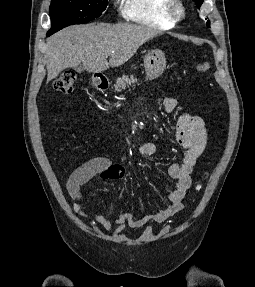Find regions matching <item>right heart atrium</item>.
<instances>
[{"label":"right heart atrium","mask_w":255,"mask_h":287,"mask_svg":"<svg viewBox=\"0 0 255 287\" xmlns=\"http://www.w3.org/2000/svg\"><path fill=\"white\" fill-rule=\"evenodd\" d=\"M106 48H124V47H106Z\"/></svg>","instance_id":"d8ad5b80"}]
</instances>
